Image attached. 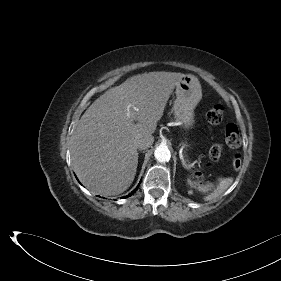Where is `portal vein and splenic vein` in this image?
<instances>
[{
  "label": "portal vein and splenic vein",
  "mask_w": 281,
  "mask_h": 281,
  "mask_svg": "<svg viewBox=\"0 0 281 281\" xmlns=\"http://www.w3.org/2000/svg\"><path fill=\"white\" fill-rule=\"evenodd\" d=\"M130 115V112H129V110H128V113H127V116H129ZM183 162V164L186 166V164L184 163V160L182 161ZM193 166V164H191V165H188V167H192ZM187 167V166H186Z\"/></svg>",
  "instance_id": "1"
}]
</instances>
